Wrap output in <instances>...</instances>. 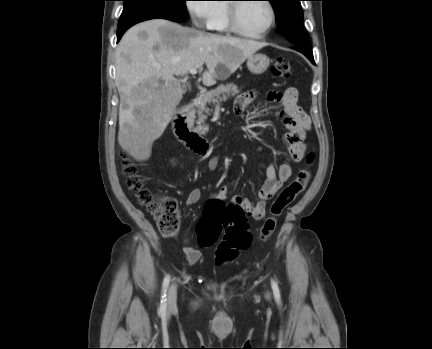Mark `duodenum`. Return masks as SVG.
Wrapping results in <instances>:
<instances>
[{
  "label": "duodenum",
  "instance_id": "duodenum-1",
  "mask_svg": "<svg viewBox=\"0 0 432 349\" xmlns=\"http://www.w3.org/2000/svg\"><path fill=\"white\" fill-rule=\"evenodd\" d=\"M196 105L194 100L189 101L175 114L173 130L176 137L190 151L204 156L208 153V142L192 126Z\"/></svg>",
  "mask_w": 432,
  "mask_h": 349
}]
</instances>
